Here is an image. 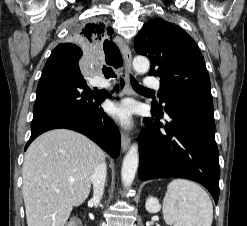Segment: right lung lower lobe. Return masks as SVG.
I'll list each match as a JSON object with an SVG mask.
<instances>
[{
    "instance_id": "right-lung-lower-lobe-1",
    "label": "right lung lower lobe",
    "mask_w": 247,
    "mask_h": 226,
    "mask_svg": "<svg viewBox=\"0 0 247 226\" xmlns=\"http://www.w3.org/2000/svg\"><path fill=\"white\" fill-rule=\"evenodd\" d=\"M81 56L80 47L73 43L59 44L52 51L37 86L32 132L25 150L43 132L66 128L86 135L113 158L119 156L118 129L101 107L105 97L92 91L83 79L78 65Z\"/></svg>"
}]
</instances>
